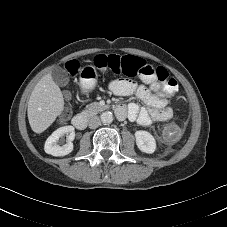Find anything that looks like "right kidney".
I'll use <instances>...</instances> for the list:
<instances>
[{
    "label": "right kidney",
    "instance_id": "1",
    "mask_svg": "<svg viewBox=\"0 0 227 227\" xmlns=\"http://www.w3.org/2000/svg\"><path fill=\"white\" fill-rule=\"evenodd\" d=\"M66 135L67 143L60 146L57 144L60 137ZM75 138L73 126H63L55 130L46 140L44 150L52 156H65L73 151L72 141Z\"/></svg>",
    "mask_w": 227,
    "mask_h": 227
}]
</instances>
